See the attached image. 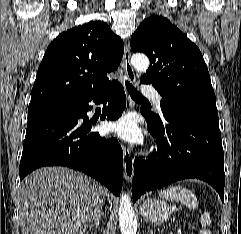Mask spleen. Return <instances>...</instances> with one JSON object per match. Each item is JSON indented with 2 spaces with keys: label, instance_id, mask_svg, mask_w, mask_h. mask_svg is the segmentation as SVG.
Instances as JSON below:
<instances>
[{
  "label": "spleen",
  "instance_id": "spleen-1",
  "mask_svg": "<svg viewBox=\"0 0 241 234\" xmlns=\"http://www.w3.org/2000/svg\"><path fill=\"white\" fill-rule=\"evenodd\" d=\"M159 195L161 198L179 202L190 209H195L198 204L196 196L188 189L179 185L170 186L162 190ZM200 220L202 227H204V229L200 231V234H211L210 230L206 229V227L211 223L209 213H203L200 217Z\"/></svg>",
  "mask_w": 241,
  "mask_h": 234
}]
</instances>
